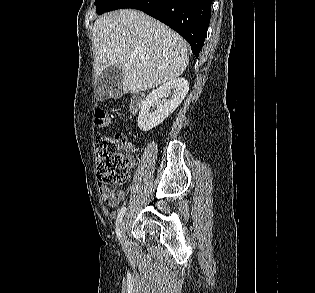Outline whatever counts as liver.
Here are the masks:
<instances>
[{"mask_svg": "<svg viewBox=\"0 0 315 293\" xmlns=\"http://www.w3.org/2000/svg\"><path fill=\"white\" fill-rule=\"evenodd\" d=\"M93 39L96 75L109 66L119 67L124 94L176 79L189 62L188 44L180 35L136 10L122 9L98 18Z\"/></svg>", "mask_w": 315, "mask_h": 293, "instance_id": "1", "label": "liver"}]
</instances>
